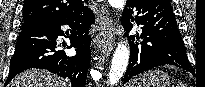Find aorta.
Here are the masks:
<instances>
[{"instance_id":"762f6f07","label":"aorta","mask_w":205,"mask_h":87,"mask_svg":"<svg viewBox=\"0 0 205 87\" xmlns=\"http://www.w3.org/2000/svg\"><path fill=\"white\" fill-rule=\"evenodd\" d=\"M115 9H123L125 0H108ZM129 48L123 42L119 43L112 58L108 82L111 87L116 85L126 71L129 62Z\"/></svg>"}]
</instances>
